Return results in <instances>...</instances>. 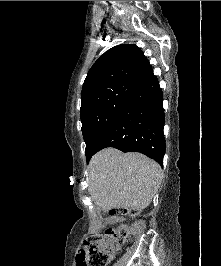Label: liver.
Wrapping results in <instances>:
<instances>
[{
    "label": "liver",
    "instance_id": "liver-1",
    "mask_svg": "<svg viewBox=\"0 0 221 266\" xmlns=\"http://www.w3.org/2000/svg\"><path fill=\"white\" fill-rule=\"evenodd\" d=\"M158 163L140 153H122L106 148L88 165L89 193L102 210L145 209L162 181Z\"/></svg>",
    "mask_w": 221,
    "mask_h": 266
}]
</instances>
